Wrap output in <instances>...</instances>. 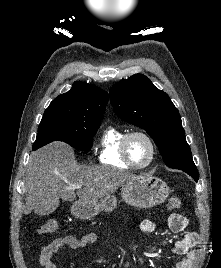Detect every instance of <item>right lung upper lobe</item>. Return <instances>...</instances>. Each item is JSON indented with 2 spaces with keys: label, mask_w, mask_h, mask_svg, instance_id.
Returning <instances> with one entry per match:
<instances>
[{
  "label": "right lung upper lobe",
  "mask_w": 221,
  "mask_h": 268,
  "mask_svg": "<svg viewBox=\"0 0 221 268\" xmlns=\"http://www.w3.org/2000/svg\"><path fill=\"white\" fill-rule=\"evenodd\" d=\"M107 102V92L94 85L76 81L72 89L56 97L45 112H59L85 120L100 121Z\"/></svg>",
  "instance_id": "cb5924a9"
}]
</instances>
